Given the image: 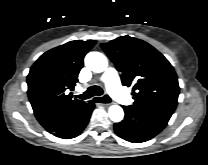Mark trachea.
<instances>
[{"label": "trachea", "mask_w": 208, "mask_h": 165, "mask_svg": "<svg viewBox=\"0 0 208 165\" xmlns=\"http://www.w3.org/2000/svg\"><path fill=\"white\" fill-rule=\"evenodd\" d=\"M102 94H103V90L99 86H91L83 94L76 95V97L80 99H89L95 95L100 96ZM103 99L104 101H98V102H105L110 100L108 96H104Z\"/></svg>", "instance_id": "3493384b"}]
</instances>
